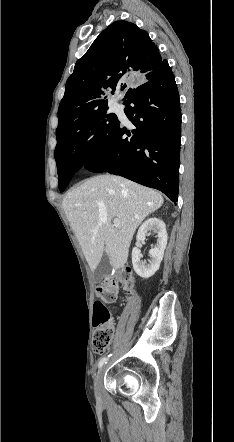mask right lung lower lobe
<instances>
[{"mask_svg":"<svg viewBox=\"0 0 234 442\" xmlns=\"http://www.w3.org/2000/svg\"><path fill=\"white\" fill-rule=\"evenodd\" d=\"M135 129L118 121L107 142L85 164L92 172L120 175L178 200L180 100L168 63L124 101ZM126 135L128 137H126Z\"/></svg>","mask_w":234,"mask_h":442,"instance_id":"right-lung-lower-lobe-1","label":"right lung lower lobe"}]
</instances>
